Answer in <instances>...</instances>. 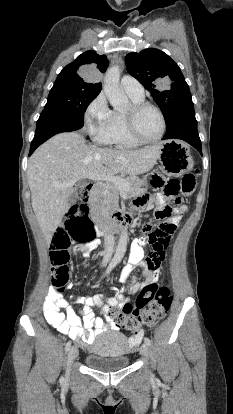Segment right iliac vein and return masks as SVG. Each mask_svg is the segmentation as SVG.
<instances>
[{
  "mask_svg": "<svg viewBox=\"0 0 233 414\" xmlns=\"http://www.w3.org/2000/svg\"><path fill=\"white\" fill-rule=\"evenodd\" d=\"M77 356H78V349L75 346L71 347L68 352V356H67V372H66L67 376H69L72 363Z\"/></svg>",
  "mask_w": 233,
  "mask_h": 414,
  "instance_id": "right-iliac-vein-1",
  "label": "right iliac vein"
}]
</instances>
